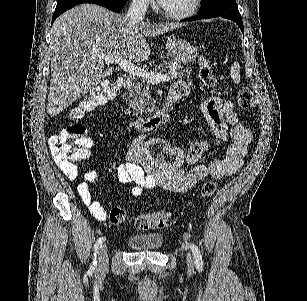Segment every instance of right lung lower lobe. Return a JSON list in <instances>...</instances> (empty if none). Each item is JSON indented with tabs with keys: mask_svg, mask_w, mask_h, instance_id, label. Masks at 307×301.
I'll return each instance as SVG.
<instances>
[{
	"mask_svg": "<svg viewBox=\"0 0 307 301\" xmlns=\"http://www.w3.org/2000/svg\"><path fill=\"white\" fill-rule=\"evenodd\" d=\"M126 0H62L58 1L54 14L52 16V23L55 19L65 12L66 10L81 4V3H93L106 7L114 12H119L125 5Z\"/></svg>",
	"mask_w": 307,
	"mask_h": 301,
	"instance_id": "right-lung-lower-lobe-1",
	"label": "right lung lower lobe"
}]
</instances>
